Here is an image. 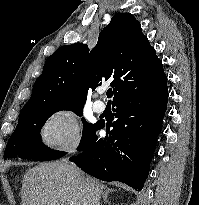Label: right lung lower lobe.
Here are the masks:
<instances>
[{
  "instance_id": "1",
  "label": "right lung lower lobe",
  "mask_w": 199,
  "mask_h": 205,
  "mask_svg": "<svg viewBox=\"0 0 199 205\" xmlns=\"http://www.w3.org/2000/svg\"><path fill=\"white\" fill-rule=\"evenodd\" d=\"M168 100L164 71L134 81L113 99L116 106L113 130L98 139V123L82 152L70 157L87 174L104 181H120L140 191L162 129Z\"/></svg>"
}]
</instances>
